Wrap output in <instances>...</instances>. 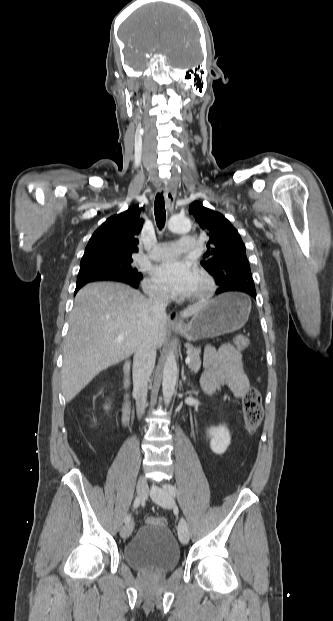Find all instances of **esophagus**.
Returning <instances> with one entry per match:
<instances>
[{"label": "esophagus", "instance_id": "obj_1", "mask_svg": "<svg viewBox=\"0 0 333 621\" xmlns=\"http://www.w3.org/2000/svg\"><path fill=\"white\" fill-rule=\"evenodd\" d=\"M177 193V186L175 184L169 183L165 187V203L166 207L169 211H172L174 208L175 197ZM169 324L172 326H182V319L178 318L174 312H172L169 316Z\"/></svg>", "mask_w": 333, "mask_h": 621}]
</instances>
